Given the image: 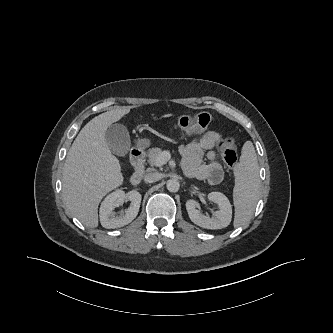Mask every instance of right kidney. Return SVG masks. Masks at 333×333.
I'll use <instances>...</instances> for the list:
<instances>
[{
    "instance_id": "obj_1",
    "label": "right kidney",
    "mask_w": 333,
    "mask_h": 333,
    "mask_svg": "<svg viewBox=\"0 0 333 333\" xmlns=\"http://www.w3.org/2000/svg\"><path fill=\"white\" fill-rule=\"evenodd\" d=\"M141 198V194L137 191L125 193L122 190H116L110 193L101 203V225L107 229H114L123 227L132 222L139 212ZM125 200L131 202L128 210L116 215L114 209L120 206Z\"/></svg>"
}]
</instances>
